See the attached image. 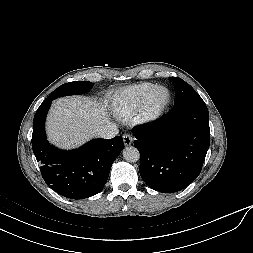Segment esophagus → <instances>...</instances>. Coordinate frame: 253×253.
Masks as SVG:
<instances>
[{"mask_svg":"<svg viewBox=\"0 0 253 253\" xmlns=\"http://www.w3.org/2000/svg\"><path fill=\"white\" fill-rule=\"evenodd\" d=\"M123 142H124V145H125V146H129V145H131V143L133 142V138H132L130 135L125 134V135L123 136Z\"/></svg>","mask_w":253,"mask_h":253,"instance_id":"esophagus-1","label":"esophagus"}]
</instances>
